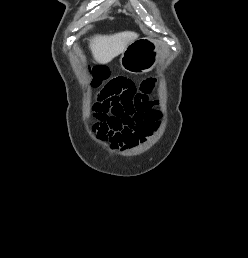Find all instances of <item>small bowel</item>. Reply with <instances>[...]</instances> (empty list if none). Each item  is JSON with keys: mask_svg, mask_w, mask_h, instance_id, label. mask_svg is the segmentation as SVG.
<instances>
[{"mask_svg": "<svg viewBox=\"0 0 248 258\" xmlns=\"http://www.w3.org/2000/svg\"><path fill=\"white\" fill-rule=\"evenodd\" d=\"M153 81H146L140 90L125 77L115 78L104 85L102 98H109L121 115H126L123 124L108 130L106 125L97 123L95 131L112 148L124 149L145 140L156 130L159 113L156 103L149 99Z\"/></svg>", "mask_w": 248, "mask_h": 258, "instance_id": "small-bowel-1", "label": "small bowel"}]
</instances>
